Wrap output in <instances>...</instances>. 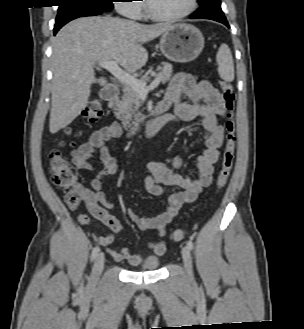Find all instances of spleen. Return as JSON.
Wrapping results in <instances>:
<instances>
[{
	"instance_id": "obj_1",
	"label": "spleen",
	"mask_w": 304,
	"mask_h": 329,
	"mask_svg": "<svg viewBox=\"0 0 304 329\" xmlns=\"http://www.w3.org/2000/svg\"><path fill=\"white\" fill-rule=\"evenodd\" d=\"M218 63V73L224 81L232 82L234 80V63L230 48L222 44L216 55Z\"/></svg>"
}]
</instances>
